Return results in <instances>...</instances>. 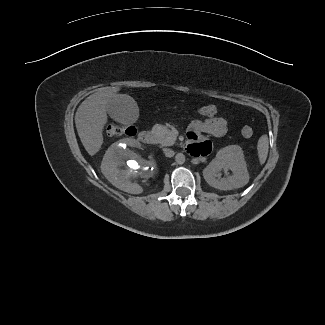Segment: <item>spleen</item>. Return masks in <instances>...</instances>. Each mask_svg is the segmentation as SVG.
I'll use <instances>...</instances> for the list:
<instances>
[{"label": "spleen", "mask_w": 325, "mask_h": 325, "mask_svg": "<svg viewBox=\"0 0 325 325\" xmlns=\"http://www.w3.org/2000/svg\"><path fill=\"white\" fill-rule=\"evenodd\" d=\"M269 150V140L267 135H262L257 143V152L260 164H264Z\"/></svg>", "instance_id": "1"}]
</instances>
